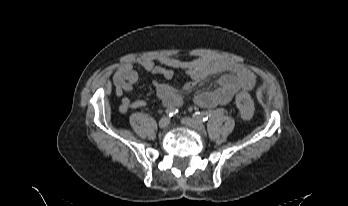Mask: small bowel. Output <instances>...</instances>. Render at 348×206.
Here are the masks:
<instances>
[{
  "label": "small bowel",
  "instance_id": "small-bowel-1",
  "mask_svg": "<svg viewBox=\"0 0 348 206\" xmlns=\"http://www.w3.org/2000/svg\"><path fill=\"white\" fill-rule=\"evenodd\" d=\"M187 72L189 80L184 90L194 89L205 78L222 73L218 87L211 91H202L195 96L197 105L212 108L229 103L238 89H251L256 83V76L244 65L218 57H200L194 60H180L173 57H161L159 64L148 58L140 59L136 64L126 62L120 65L113 75L116 95L121 98L120 111L126 112L146 106L144 100H130L124 95L132 89L138 80V71L143 70L159 75L166 80L173 77V70ZM157 97L165 107L177 108L183 104L182 93L175 87L158 81L153 82Z\"/></svg>",
  "mask_w": 348,
  "mask_h": 206
}]
</instances>
